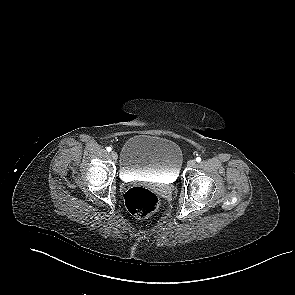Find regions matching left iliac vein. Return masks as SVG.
<instances>
[{"mask_svg": "<svg viewBox=\"0 0 295 295\" xmlns=\"http://www.w3.org/2000/svg\"><path fill=\"white\" fill-rule=\"evenodd\" d=\"M195 164H196L195 160H189V161L187 162V166H188V167H194Z\"/></svg>", "mask_w": 295, "mask_h": 295, "instance_id": "1", "label": "left iliac vein"}]
</instances>
